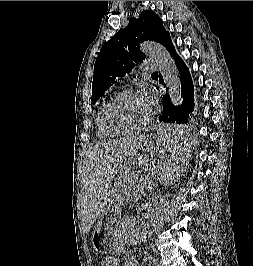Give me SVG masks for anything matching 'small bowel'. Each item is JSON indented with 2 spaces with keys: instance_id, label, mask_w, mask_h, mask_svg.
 I'll use <instances>...</instances> for the list:
<instances>
[{
  "instance_id": "small-bowel-1",
  "label": "small bowel",
  "mask_w": 253,
  "mask_h": 266,
  "mask_svg": "<svg viewBox=\"0 0 253 266\" xmlns=\"http://www.w3.org/2000/svg\"><path fill=\"white\" fill-rule=\"evenodd\" d=\"M108 262H115L116 263L115 266H139V263L133 258L127 259L123 263H121L118 258L110 257L107 259V263ZM146 262H147V264H149V258L148 257L146 258Z\"/></svg>"
}]
</instances>
